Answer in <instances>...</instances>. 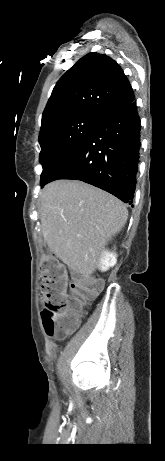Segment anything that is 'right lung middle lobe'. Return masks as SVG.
<instances>
[{"instance_id": "1", "label": "right lung middle lobe", "mask_w": 165, "mask_h": 461, "mask_svg": "<svg viewBox=\"0 0 165 461\" xmlns=\"http://www.w3.org/2000/svg\"><path fill=\"white\" fill-rule=\"evenodd\" d=\"M101 119L79 116L50 124L39 134L43 167L40 184L43 186L59 166L87 139Z\"/></svg>"}]
</instances>
